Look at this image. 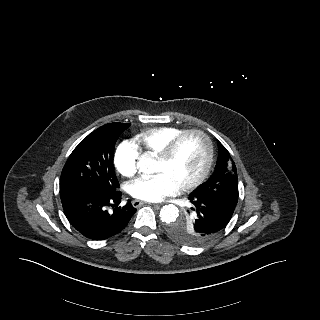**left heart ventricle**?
Instances as JSON below:
<instances>
[{"label":"left heart ventricle","mask_w":320,"mask_h":320,"mask_svg":"<svg viewBox=\"0 0 320 320\" xmlns=\"http://www.w3.org/2000/svg\"><path fill=\"white\" fill-rule=\"evenodd\" d=\"M205 158L204 140L197 135H191L181 142L170 161L164 162L157 159L155 172L166 174L179 187L200 174Z\"/></svg>","instance_id":"left-heart-ventricle-1"}]
</instances>
